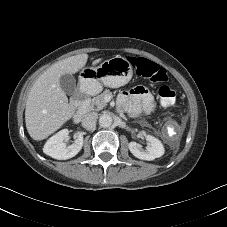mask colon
I'll list each match as a JSON object with an SVG mask.
<instances>
[{
    "instance_id": "1",
    "label": "colon",
    "mask_w": 227,
    "mask_h": 227,
    "mask_svg": "<svg viewBox=\"0 0 227 227\" xmlns=\"http://www.w3.org/2000/svg\"><path fill=\"white\" fill-rule=\"evenodd\" d=\"M135 68L138 76L145 77L154 83H163L157 91L163 105L171 107L175 104L176 93L170 85L166 84L168 76L164 68L140 58L135 60Z\"/></svg>"
}]
</instances>
